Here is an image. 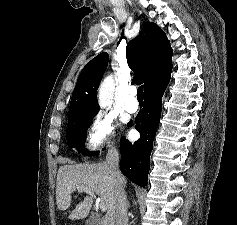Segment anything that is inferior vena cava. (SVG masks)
Instances as JSON below:
<instances>
[{
  "label": "inferior vena cava",
  "instance_id": "obj_1",
  "mask_svg": "<svg viewBox=\"0 0 237 225\" xmlns=\"http://www.w3.org/2000/svg\"><path fill=\"white\" fill-rule=\"evenodd\" d=\"M106 161L109 166L110 172L115 179L116 187V212L115 223L116 225H128L127 219V198L124 190L125 178L119 170V154L115 147H112L106 156Z\"/></svg>",
  "mask_w": 237,
  "mask_h": 225
}]
</instances>
